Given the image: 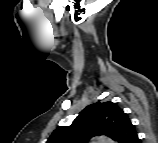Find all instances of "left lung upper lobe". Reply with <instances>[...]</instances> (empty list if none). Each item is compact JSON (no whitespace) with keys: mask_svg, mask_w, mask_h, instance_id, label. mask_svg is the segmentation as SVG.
I'll list each match as a JSON object with an SVG mask.
<instances>
[{"mask_svg":"<svg viewBox=\"0 0 158 143\" xmlns=\"http://www.w3.org/2000/svg\"><path fill=\"white\" fill-rule=\"evenodd\" d=\"M96 135L131 143L137 134L128 115L116 103L97 102L82 110L70 126L54 130L47 143H81Z\"/></svg>","mask_w":158,"mask_h":143,"instance_id":"left-lung-upper-lobe-1","label":"left lung upper lobe"}]
</instances>
